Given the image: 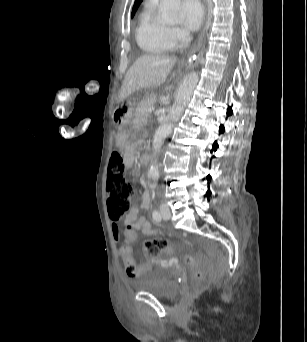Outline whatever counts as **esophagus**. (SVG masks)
I'll use <instances>...</instances> for the list:
<instances>
[{"label": "esophagus", "mask_w": 307, "mask_h": 342, "mask_svg": "<svg viewBox=\"0 0 307 342\" xmlns=\"http://www.w3.org/2000/svg\"><path fill=\"white\" fill-rule=\"evenodd\" d=\"M203 2H204V15H205L204 25H203L201 35L199 37L198 44L195 47H193V49L190 52L191 55H194L195 53H197L200 50V48H202L205 45V30H206V21H207V0H203Z\"/></svg>", "instance_id": "esophagus-1"}]
</instances>
